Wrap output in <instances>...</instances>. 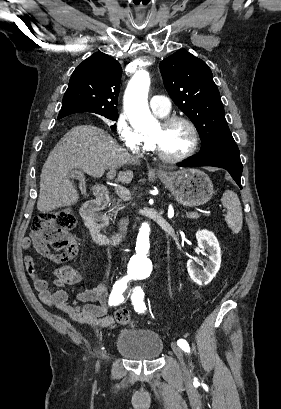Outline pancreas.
I'll list each match as a JSON object with an SVG mask.
<instances>
[{"mask_svg": "<svg viewBox=\"0 0 281 409\" xmlns=\"http://www.w3.org/2000/svg\"><path fill=\"white\" fill-rule=\"evenodd\" d=\"M120 200H118V202H116L115 207H113V209H111V211H108L109 215H112V217H116V215H118V211H121V209H123V207H121V205H119ZM200 217V215L197 216Z\"/></svg>", "mask_w": 281, "mask_h": 409, "instance_id": "cf45deb5", "label": "pancreas"}]
</instances>
